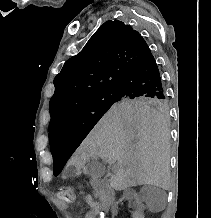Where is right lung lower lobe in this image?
I'll use <instances>...</instances> for the list:
<instances>
[{
    "mask_svg": "<svg viewBox=\"0 0 211 218\" xmlns=\"http://www.w3.org/2000/svg\"><path fill=\"white\" fill-rule=\"evenodd\" d=\"M114 92L118 96L165 98V91L158 66L152 54H149L118 83Z\"/></svg>",
    "mask_w": 211,
    "mask_h": 218,
    "instance_id": "1",
    "label": "right lung lower lobe"
}]
</instances>
